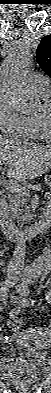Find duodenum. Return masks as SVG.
I'll use <instances>...</instances> for the list:
<instances>
[{
  "mask_svg": "<svg viewBox=\"0 0 51 393\" xmlns=\"http://www.w3.org/2000/svg\"><path fill=\"white\" fill-rule=\"evenodd\" d=\"M51 222L50 213L45 211L43 216L32 224L25 226H17L11 219L6 211V199L0 196V226L3 234L13 240H22L30 238L46 230Z\"/></svg>",
  "mask_w": 51,
  "mask_h": 393,
  "instance_id": "duodenum-1",
  "label": "duodenum"
}]
</instances>
